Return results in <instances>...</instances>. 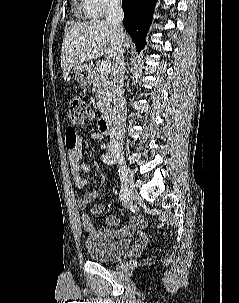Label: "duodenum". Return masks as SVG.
Listing matches in <instances>:
<instances>
[{"mask_svg": "<svg viewBox=\"0 0 239 303\" xmlns=\"http://www.w3.org/2000/svg\"><path fill=\"white\" fill-rule=\"evenodd\" d=\"M99 129L104 134L112 132V115L110 113L103 114L98 121Z\"/></svg>", "mask_w": 239, "mask_h": 303, "instance_id": "duodenum-1", "label": "duodenum"}]
</instances>
